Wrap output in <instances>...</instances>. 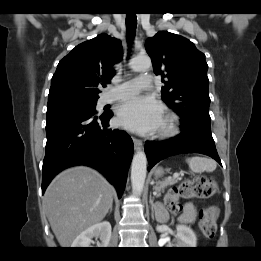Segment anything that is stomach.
<instances>
[{"label": "stomach", "instance_id": "obj_1", "mask_svg": "<svg viewBox=\"0 0 261 261\" xmlns=\"http://www.w3.org/2000/svg\"><path fill=\"white\" fill-rule=\"evenodd\" d=\"M163 172H164L163 169L159 167V168H157V169L155 170L154 173H155V176H156V177H159V176H161V175L163 174Z\"/></svg>", "mask_w": 261, "mask_h": 261}]
</instances>
